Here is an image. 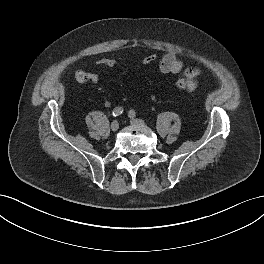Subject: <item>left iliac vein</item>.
I'll return each mask as SVG.
<instances>
[{
	"mask_svg": "<svg viewBox=\"0 0 264 264\" xmlns=\"http://www.w3.org/2000/svg\"><path fill=\"white\" fill-rule=\"evenodd\" d=\"M130 122H131V124L134 125V126H140V127L145 126L144 121L141 120V119L131 118Z\"/></svg>",
	"mask_w": 264,
	"mask_h": 264,
	"instance_id": "4c4485c4",
	"label": "left iliac vein"
}]
</instances>
